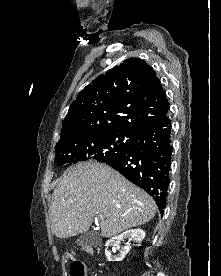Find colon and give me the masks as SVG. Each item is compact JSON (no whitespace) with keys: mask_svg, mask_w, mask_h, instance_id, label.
<instances>
[{"mask_svg":"<svg viewBox=\"0 0 221 276\" xmlns=\"http://www.w3.org/2000/svg\"><path fill=\"white\" fill-rule=\"evenodd\" d=\"M63 259L66 262L71 263L70 273L71 276H86V271L84 265L76 260V255L73 251H65L63 254Z\"/></svg>","mask_w":221,"mask_h":276,"instance_id":"1","label":"colon"}]
</instances>
